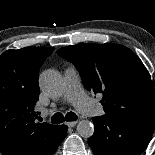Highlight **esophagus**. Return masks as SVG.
Masks as SVG:
<instances>
[{"label": "esophagus", "instance_id": "1", "mask_svg": "<svg viewBox=\"0 0 155 155\" xmlns=\"http://www.w3.org/2000/svg\"><path fill=\"white\" fill-rule=\"evenodd\" d=\"M78 122L77 121H72V122H67L66 124L68 125V127H74L76 126Z\"/></svg>", "mask_w": 155, "mask_h": 155}]
</instances>
